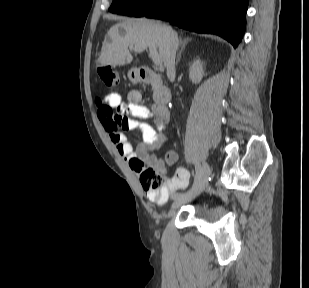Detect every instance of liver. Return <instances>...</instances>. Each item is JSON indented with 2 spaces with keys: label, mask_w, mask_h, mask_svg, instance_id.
<instances>
[{
  "label": "liver",
  "mask_w": 309,
  "mask_h": 288,
  "mask_svg": "<svg viewBox=\"0 0 309 288\" xmlns=\"http://www.w3.org/2000/svg\"><path fill=\"white\" fill-rule=\"evenodd\" d=\"M178 40L177 33L169 26L141 19H125L108 31L98 58L100 66H121L133 61L129 49L139 46L159 49V56L166 65L171 44V35Z\"/></svg>",
  "instance_id": "liver-1"
}]
</instances>
